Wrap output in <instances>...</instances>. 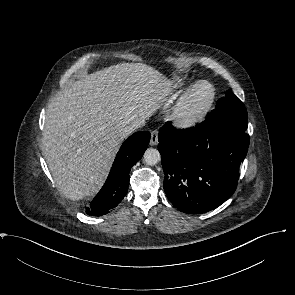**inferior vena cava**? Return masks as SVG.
I'll return each mask as SVG.
<instances>
[{
    "instance_id": "inferior-vena-cava-1",
    "label": "inferior vena cava",
    "mask_w": 295,
    "mask_h": 295,
    "mask_svg": "<svg viewBox=\"0 0 295 295\" xmlns=\"http://www.w3.org/2000/svg\"><path fill=\"white\" fill-rule=\"evenodd\" d=\"M142 126V123L141 122H134L128 126H126L122 133H121V136L122 137H125L127 135H129L130 133H132L133 131L137 130L138 128H140Z\"/></svg>"
}]
</instances>
